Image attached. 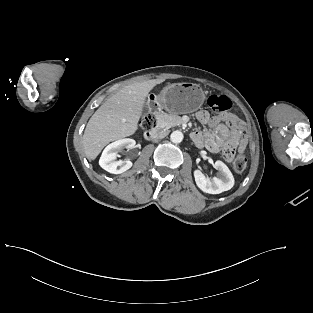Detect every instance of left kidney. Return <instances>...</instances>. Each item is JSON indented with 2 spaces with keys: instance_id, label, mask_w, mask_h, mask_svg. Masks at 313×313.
Listing matches in <instances>:
<instances>
[{
  "instance_id": "1",
  "label": "left kidney",
  "mask_w": 313,
  "mask_h": 313,
  "mask_svg": "<svg viewBox=\"0 0 313 313\" xmlns=\"http://www.w3.org/2000/svg\"><path fill=\"white\" fill-rule=\"evenodd\" d=\"M215 168L219 170V176L208 178L201 170L194 171V178L197 186L206 193L219 194L230 190L234 186V177L229 168L222 162L216 161Z\"/></svg>"
}]
</instances>
